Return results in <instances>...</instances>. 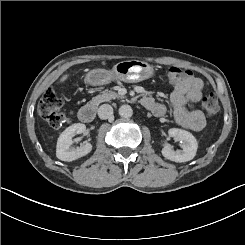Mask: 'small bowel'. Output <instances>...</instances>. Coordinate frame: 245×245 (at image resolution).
Listing matches in <instances>:
<instances>
[{
  "mask_svg": "<svg viewBox=\"0 0 245 245\" xmlns=\"http://www.w3.org/2000/svg\"><path fill=\"white\" fill-rule=\"evenodd\" d=\"M203 82L201 79L190 76L179 82L170 96L175 121L182 127L194 132L202 130L206 125V118L202 111L195 105L201 99ZM143 105L156 116H163L167 109L162 103H158L150 95L143 97Z\"/></svg>",
  "mask_w": 245,
  "mask_h": 245,
  "instance_id": "c3829d8e",
  "label": "small bowel"
}]
</instances>
